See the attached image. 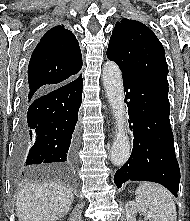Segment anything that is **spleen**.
<instances>
[{"label": "spleen", "instance_id": "spleen-1", "mask_svg": "<svg viewBox=\"0 0 190 221\" xmlns=\"http://www.w3.org/2000/svg\"><path fill=\"white\" fill-rule=\"evenodd\" d=\"M135 195L136 204L149 208L160 221H176L175 203L170 192L164 187L144 182L136 189Z\"/></svg>", "mask_w": 190, "mask_h": 221}]
</instances>
